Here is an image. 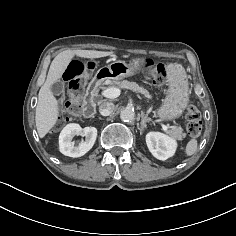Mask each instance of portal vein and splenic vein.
<instances>
[{"label": "portal vein and splenic vein", "instance_id": "obj_1", "mask_svg": "<svg viewBox=\"0 0 236 236\" xmlns=\"http://www.w3.org/2000/svg\"><path fill=\"white\" fill-rule=\"evenodd\" d=\"M121 91L118 88H107L101 92V95L106 98H117L120 95ZM163 130L168 132L167 126L163 125Z\"/></svg>", "mask_w": 236, "mask_h": 236}]
</instances>
